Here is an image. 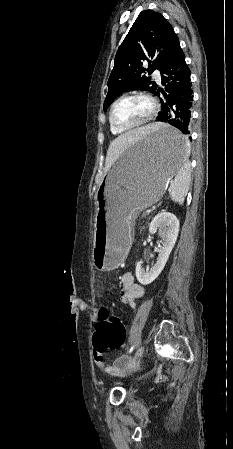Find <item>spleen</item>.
Wrapping results in <instances>:
<instances>
[{
  "label": "spleen",
  "mask_w": 233,
  "mask_h": 449,
  "mask_svg": "<svg viewBox=\"0 0 233 449\" xmlns=\"http://www.w3.org/2000/svg\"><path fill=\"white\" fill-rule=\"evenodd\" d=\"M188 152H190V144H187ZM191 180V167L186 160L178 169L177 175L171 181L169 187V194L173 201L182 205L188 193Z\"/></svg>",
  "instance_id": "1"
}]
</instances>
